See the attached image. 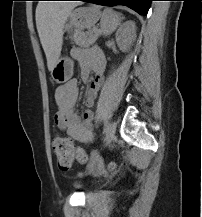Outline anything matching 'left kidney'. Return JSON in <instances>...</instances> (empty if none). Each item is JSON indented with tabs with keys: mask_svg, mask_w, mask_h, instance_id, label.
<instances>
[{
	"mask_svg": "<svg viewBox=\"0 0 202 217\" xmlns=\"http://www.w3.org/2000/svg\"><path fill=\"white\" fill-rule=\"evenodd\" d=\"M125 35H122L121 32H117L116 34V41L119 48L126 52L130 49L133 41L135 40L136 36V29L135 23L133 21H127L122 26Z\"/></svg>",
	"mask_w": 202,
	"mask_h": 217,
	"instance_id": "1",
	"label": "left kidney"
}]
</instances>
